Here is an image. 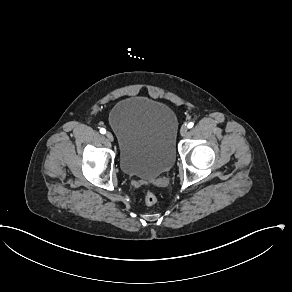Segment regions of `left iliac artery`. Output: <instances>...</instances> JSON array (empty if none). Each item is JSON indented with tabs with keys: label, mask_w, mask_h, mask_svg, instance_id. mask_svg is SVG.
<instances>
[{
	"label": "left iliac artery",
	"mask_w": 292,
	"mask_h": 292,
	"mask_svg": "<svg viewBox=\"0 0 292 292\" xmlns=\"http://www.w3.org/2000/svg\"><path fill=\"white\" fill-rule=\"evenodd\" d=\"M194 126V123L193 122H189L188 123V125H187V127L190 129V128H192Z\"/></svg>",
	"instance_id": "obj_1"
}]
</instances>
